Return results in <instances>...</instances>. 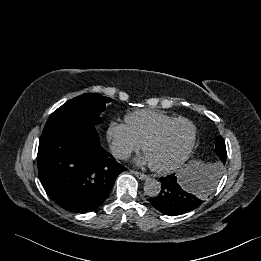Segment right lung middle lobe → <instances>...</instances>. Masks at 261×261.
<instances>
[{
	"mask_svg": "<svg viewBox=\"0 0 261 261\" xmlns=\"http://www.w3.org/2000/svg\"><path fill=\"white\" fill-rule=\"evenodd\" d=\"M111 98L94 93H85L75 97L55 110L47 120L43 133L66 126L83 124L97 125L100 113L105 110Z\"/></svg>",
	"mask_w": 261,
	"mask_h": 261,
	"instance_id": "1",
	"label": "right lung middle lobe"
}]
</instances>
